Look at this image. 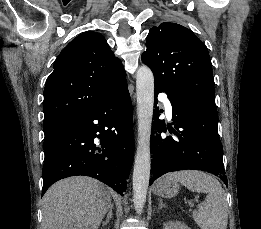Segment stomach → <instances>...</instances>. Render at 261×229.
<instances>
[{
    "label": "stomach",
    "mask_w": 261,
    "mask_h": 229,
    "mask_svg": "<svg viewBox=\"0 0 261 229\" xmlns=\"http://www.w3.org/2000/svg\"><path fill=\"white\" fill-rule=\"evenodd\" d=\"M154 195L164 197V199H172L175 195H178L179 185L175 181H169V179H160L154 185Z\"/></svg>",
    "instance_id": "1"
}]
</instances>
